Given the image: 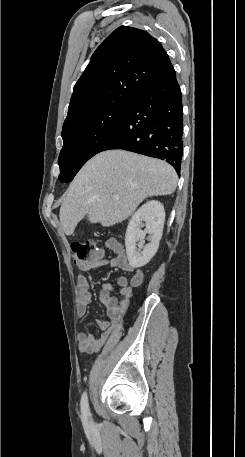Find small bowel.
I'll return each instance as SVG.
<instances>
[{
	"instance_id": "obj_1",
	"label": "small bowel",
	"mask_w": 245,
	"mask_h": 457,
	"mask_svg": "<svg viewBox=\"0 0 245 457\" xmlns=\"http://www.w3.org/2000/svg\"><path fill=\"white\" fill-rule=\"evenodd\" d=\"M107 250L116 254L112 259H104L103 251L99 250L97 256L91 260L79 264V269L88 271L93 268H120L131 273V278L128 280L125 277H119L117 284L121 298L111 295L113 287L109 283L102 285L99 293L100 301L106 306L107 314L110 321H100L97 323L102 329L99 336H95L89 331L79 332L77 335L79 350L83 353L93 354L98 352L104 345L115 344L121 336V322L129 306L130 298L134 288L139 287L144 279L142 270L131 265L123 246L116 239H108L105 242ZM92 294L90 292V284L84 275L77 277V315L82 318L87 313L88 305L91 302Z\"/></svg>"
}]
</instances>
